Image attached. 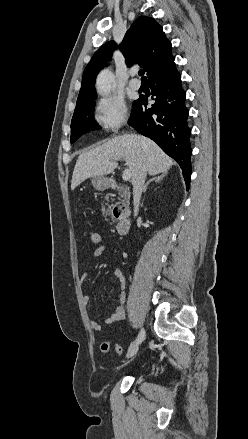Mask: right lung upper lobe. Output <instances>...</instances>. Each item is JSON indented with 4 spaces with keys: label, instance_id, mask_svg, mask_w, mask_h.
Wrapping results in <instances>:
<instances>
[{
    "label": "right lung upper lobe",
    "instance_id": "right-lung-upper-lobe-1",
    "mask_svg": "<svg viewBox=\"0 0 248 439\" xmlns=\"http://www.w3.org/2000/svg\"><path fill=\"white\" fill-rule=\"evenodd\" d=\"M115 48L117 45L114 41L107 42L91 58L83 73L76 108L96 98L94 88L96 76L111 58ZM119 48L128 66L138 63L145 69L148 78L174 64L175 58L171 54L170 41L166 38L162 27L153 18L147 16H141L134 21Z\"/></svg>",
    "mask_w": 248,
    "mask_h": 439
}]
</instances>
